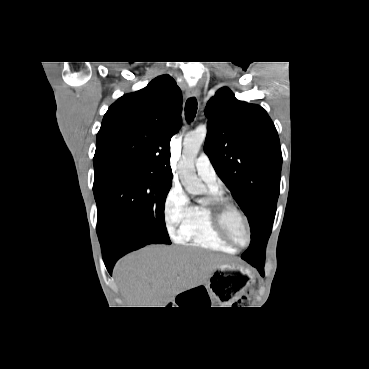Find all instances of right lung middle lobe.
<instances>
[{
	"label": "right lung middle lobe",
	"instance_id": "dd1d6c3e",
	"mask_svg": "<svg viewBox=\"0 0 369 369\" xmlns=\"http://www.w3.org/2000/svg\"><path fill=\"white\" fill-rule=\"evenodd\" d=\"M97 235L128 229L150 244H171L164 220L166 196L172 180L132 168H94Z\"/></svg>",
	"mask_w": 369,
	"mask_h": 369
}]
</instances>
